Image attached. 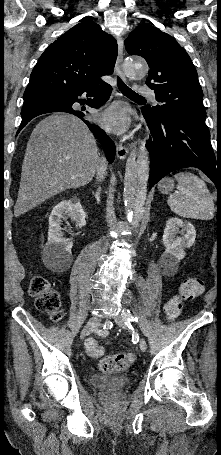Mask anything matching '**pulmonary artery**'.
Wrapping results in <instances>:
<instances>
[{"label":"pulmonary artery","mask_w":221,"mask_h":455,"mask_svg":"<svg viewBox=\"0 0 221 455\" xmlns=\"http://www.w3.org/2000/svg\"><path fill=\"white\" fill-rule=\"evenodd\" d=\"M138 94L140 96L153 97L154 92L151 88L147 87L146 85H141L138 88Z\"/></svg>","instance_id":"obj_1"}]
</instances>
